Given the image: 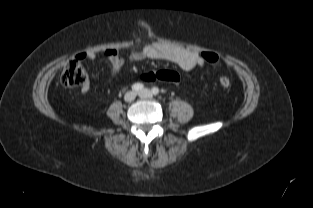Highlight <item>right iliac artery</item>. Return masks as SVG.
<instances>
[{"label":"right iliac artery","mask_w":313,"mask_h":208,"mask_svg":"<svg viewBox=\"0 0 313 208\" xmlns=\"http://www.w3.org/2000/svg\"><path fill=\"white\" fill-rule=\"evenodd\" d=\"M143 89V84L140 83H135L132 85V90L133 91H140Z\"/></svg>","instance_id":"obj_1"}]
</instances>
